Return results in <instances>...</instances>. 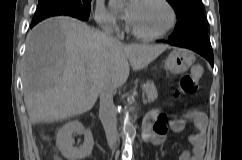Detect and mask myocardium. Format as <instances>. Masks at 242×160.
<instances>
[{
	"mask_svg": "<svg viewBox=\"0 0 242 160\" xmlns=\"http://www.w3.org/2000/svg\"><path fill=\"white\" fill-rule=\"evenodd\" d=\"M158 1L161 2L162 4H164L170 12V22H169L168 26L163 31L156 33V34H143V33L138 32L136 29H134L129 22L128 29H129L130 33L132 35H134L135 37H137L138 39L146 40V41L160 39V38L166 36L168 33H170L176 26L177 12H176L175 7L172 5V3L169 0H158Z\"/></svg>",
	"mask_w": 242,
	"mask_h": 160,
	"instance_id": "1",
	"label": "myocardium"
}]
</instances>
